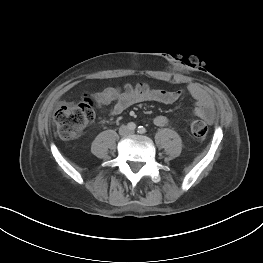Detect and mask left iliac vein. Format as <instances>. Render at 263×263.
Returning a JSON list of instances; mask_svg holds the SVG:
<instances>
[{
  "mask_svg": "<svg viewBox=\"0 0 263 263\" xmlns=\"http://www.w3.org/2000/svg\"><path fill=\"white\" fill-rule=\"evenodd\" d=\"M131 134H133L134 132L133 131H130Z\"/></svg>",
  "mask_w": 263,
  "mask_h": 263,
  "instance_id": "1",
  "label": "left iliac vein"
}]
</instances>
